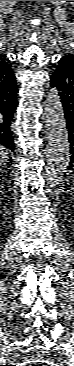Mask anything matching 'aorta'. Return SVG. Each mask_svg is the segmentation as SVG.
Returning a JSON list of instances; mask_svg holds the SVG:
<instances>
[{"label":"aorta","mask_w":74,"mask_h":366,"mask_svg":"<svg viewBox=\"0 0 74 366\" xmlns=\"http://www.w3.org/2000/svg\"><path fill=\"white\" fill-rule=\"evenodd\" d=\"M47 138L46 180L53 187L63 178L70 163V144L64 108L56 88L49 89L44 104Z\"/></svg>","instance_id":"obj_1"}]
</instances>
